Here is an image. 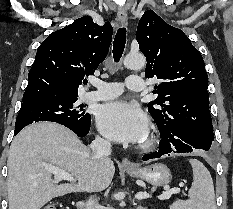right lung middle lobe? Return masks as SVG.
Masks as SVG:
<instances>
[{
	"instance_id": "obj_1",
	"label": "right lung middle lobe",
	"mask_w": 233,
	"mask_h": 209,
	"mask_svg": "<svg viewBox=\"0 0 233 209\" xmlns=\"http://www.w3.org/2000/svg\"><path fill=\"white\" fill-rule=\"evenodd\" d=\"M77 98H48L22 103L15 128H23L33 122L51 121L64 126H81L91 116L82 105L76 106Z\"/></svg>"
}]
</instances>
